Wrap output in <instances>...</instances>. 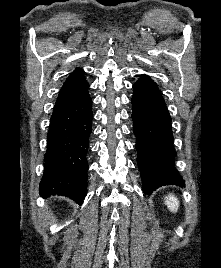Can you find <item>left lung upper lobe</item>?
<instances>
[{"instance_id": "left-lung-upper-lobe-1", "label": "left lung upper lobe", "mask_w": 221, "mask_h": 268, "mask_svg": "<svg viewBox=\"0 0 221 268\" xmlns=\"http://www.w3.org/2000/svg\"><path fill=\"white\" fill-rule=\"evenodd\" d=\"M143 77L149 78V77H147L146 75H144ZM149 79H150V78H149Z\"/></svg>"}]
</instances>
